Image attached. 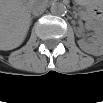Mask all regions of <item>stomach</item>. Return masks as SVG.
<instances>
[{"label":"stomach","mask_w":103,"mask_h":103,"mask_svg":"<svg viewBox=\"0 0 103 103\" xmlns=\"http://www.w3.org/2000/svg\"><path fill=\"white\" fill-rule=\"evenodd\" d=\"M79 3H80L81 5L86 6L88 10L93 7V3L90 2V1H87V0H83V1H81V2H79Z\"/></svg>","instance_id":"stomach-1"}]
</instances>
